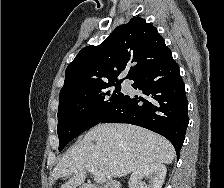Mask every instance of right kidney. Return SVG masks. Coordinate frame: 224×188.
I'll return each mask as SVG.
<instances>
[{"mask_svg":"<svg viewBox=\"0 0 224 188\" xmlns=\"http://www.w3.org/2000/svg\"><path fill=\"white\" fill-rule=\"evenodd\" d=\"M167 169L162 163H151L134 171L129 180V188H162ZM149 177L150 184L145 185L142 181Z\"/></svg>","mask_w":224,"mask_h":188,"instance_id":"1","label":"right kidney"}]
</instances>
